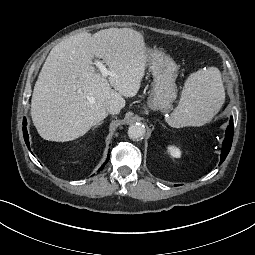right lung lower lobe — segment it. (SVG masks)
Returning <instances> with one entry per match:
<instances>
[{"instance_id":"98d812e1","label":"right lung lower lobe","mask_w":255,"mask_h":255,"mask_svg":"<svg viewBox=\"0 0 255 255\" xmlns=\"http://www.w3.org/2000/svg\"><path fill=\"white\" fill-rule=\"evenodd\" d=\"M26 124H27V122H26V119L24 118V120H23V135H24V140H25V142H26V144H27V146H28V148H29V140H28V134H27ZM108 160H109V156H108L106 162H105V163L102 165V167L99 169V171L102 170V169L104 168V166H105V164L108 162Z\"/></svg>"}]
</instances>
